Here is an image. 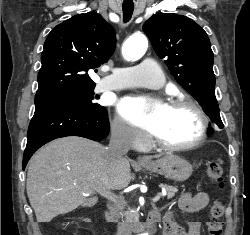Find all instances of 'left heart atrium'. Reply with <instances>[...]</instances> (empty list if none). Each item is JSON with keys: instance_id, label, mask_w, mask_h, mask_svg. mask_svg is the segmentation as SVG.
<instances>
[{"instance_id": "1", "label": "left heart atrium", "mask_w": 250, "mask_h": 235, "mask_svg": "<svg viewBox=\"0 0 250 235\" xmlns=\"http://www.w3.org/2000/svg\"><path fill=\"white\" fill-rule=\"evenodd\" d=\"M164 107L156 104L150 108L145 99L139 98H125L119 104L120 112L126 119L150 131L155 127L158 112ZM148 108L149 111H146Z\"/></svg>"}]
</instances>
